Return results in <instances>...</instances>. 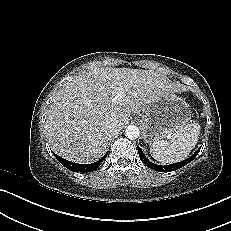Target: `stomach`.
Listing matches in <instances>:
<instances>
[{
    "label": "stomach",
    "instance_id": "0dacf381",
    "mask_svg": "<svg viewBox=\"0 0 231 231\" xmlns=\"http://www.w3.org/2000/svg\"><path fill=\"white\" fill-rule=\"evenodd\" d=\"M191 121L186 101L173 92L157 96L143 115V137L147 143L167 138Z\"/></svg>",
    "mask_w": 231,
    "mask_h": 231
}]
</instances>
